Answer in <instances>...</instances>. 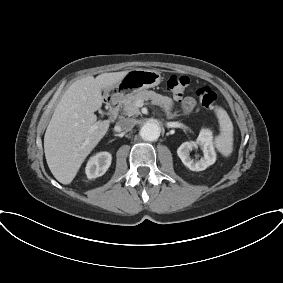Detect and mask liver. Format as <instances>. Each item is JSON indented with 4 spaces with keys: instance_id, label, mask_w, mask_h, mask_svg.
<instances>
[{
    "instance_id": "obj_1",
    "label": "liver",
    "mask_w": 283,
    "mask_h": 283,
    "mask_svg": "<svg viewBox=\"0 0 283 283\" xmlns=\"http://www.w3.org/2000/svg\"><path fill=\"white\" fill-rule=\"evenodd\" d=\"M128 72L81 78L63 94L44 136L48 167L60 183L73 181L86 157L106 134L110 121H97L94 112L102 106V90L111 88Z\"/></svg>"
}]
</instances>
